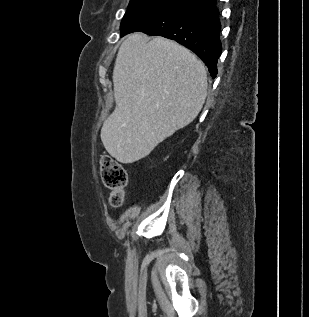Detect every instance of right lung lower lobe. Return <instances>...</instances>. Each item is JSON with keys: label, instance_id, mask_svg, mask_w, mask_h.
I'll use <instances>...</instances> for the list:
<instances>
[{"label": "right lung lower lobe", "instance_id": "obj_1", "mask_svg": "<svg viewBox=\"0 0 309 317\" xmlns=\"http://www.w3.org/2000/svg\"><path fill=\"white\" fill-rule=\"evenodd\" d=\"M220 29L216 0H179L137 19L121 37L141 31L175 40L200 57L215 78L222 51Z\"/></svg>", "mask_w": 309, "mask_h": 317}]
</instances>
